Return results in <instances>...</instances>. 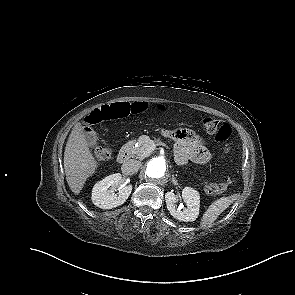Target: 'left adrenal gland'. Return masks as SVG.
I'll list each match as a JSON object with an SVG mask.
<instances>
[{
	"mask_svg": "<svg viewBox=\"0 0 295 295\" xmlns=\"http://www.w3.org/2000/svg\"><path fill=\"white\" fill-rule=\"evenodd\" d=\"M172 181H173L174 184H177L174 176H172Z\"/></svg>",
	"mask_w": 295,
	"mask_h": 295,
	"instance_id": "obj_1",
	"label": "left adrenal gland"
}]
</instances>
